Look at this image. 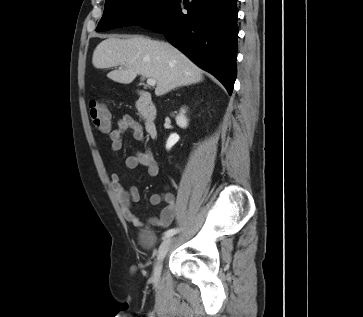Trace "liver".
<instances>
[{
  "instance_id": "1",
  "label": "liver",
  "mask_w": 363,
  "mask_h": 317,
  "mask_svg": "<svg viewBox=\"0 0 363 317\" xmlns=\"http://www.w3.org/2000/svg\"><path fill=\"white\" fill-rule=\"evenodd\" d=\"M92 64L97 69L121 66L107 77L122 84L131 83L138 74L153 78L156 96L203 80L202 70L174 46L141 36L108 37L94 50Z\"/></svg>"
}]
</instances>
